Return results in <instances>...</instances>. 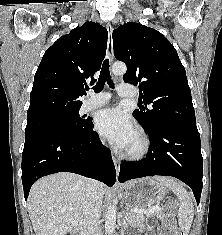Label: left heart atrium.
Instances as JSON below:
<instances>
[{
  "label": "left heart atrium",
  "mask_w": 222,
  "mask_h": 235,
  "mask_svg": "<svg viewBox=\"0 0 222 235\" xmlns=\"http://www.w3.org/2000/svg\"><path fill=\"white\" fill-rule=\"evenodd\" d=\"M95 124L101 135L122 149L129 146L135 135L130 117L118 108H105L99 111Z\"/></svg>",
  "instance_id": "1"
}]
</instances>
